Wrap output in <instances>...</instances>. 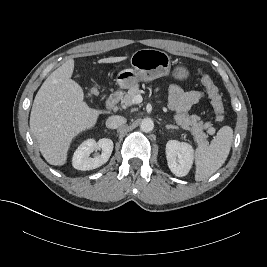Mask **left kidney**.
Masks as SVG:
<instances>
[{
	"label": "left kidney",
	"instance_id": "1",
	"mask_svg": "<svg viewBox=\"0 0 267 267\" xmlns=\"http://www.w3.org/2000/svg\"><path fill=\"white\" fill-rule=\"evenodd\" d=\"M194 149L191 144L170 140L166 144V158L171 172L183 177L188 174L194 159Z\"/></svg>",
	"mask_w": 267,
	"mask_h": 267
}]
</instances>
